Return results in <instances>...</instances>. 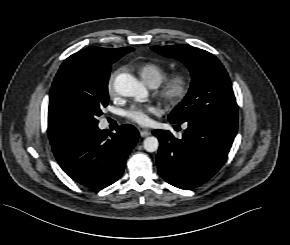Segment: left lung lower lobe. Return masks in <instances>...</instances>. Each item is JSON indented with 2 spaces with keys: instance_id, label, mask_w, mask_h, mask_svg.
<instances>
[{
  "instance_id": "1",
  "label": "left lung lower lobe",
  "mask_w": 290,
  "mask_h": 245,
  "mask_svg": "<svg viewBox=\"0 0 290 245\" xmlns=\"http://www.w3.org/2000/svg\"><path fill=\"white\" fill-rule=\"evenodd\" d=\"M187 124L181 139L169 131L154 130L160 141L157 166L161 177L171 185L189 190L208 181L227 159L237 125L224 123L205 114H197ZM179 126V125H176Z\"/></svg>"
}]
</instances>
